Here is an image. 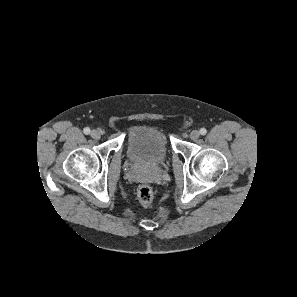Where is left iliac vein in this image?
I'll return each instance as SVG.
<instances>
[{
  "mask_svg": "<svg viewBox=\"0 0 297 297\" xmlns=\"http://www.w3.org/2000/svg\"><path fill=\"white\" fill-rule=\"evenodd\" d=\"M199 135L200 134H199V132L197 130H193L190 133V138L195 141V140H197L199 138Z\"/></svg>",
  "mask_w": 297,
  "mask_h": 297,
  "instance_id": "left-iliac-vein-1",
  "label": "left iliac vein"
}]
</instances>
